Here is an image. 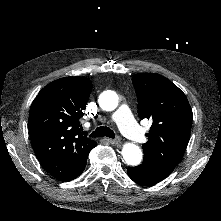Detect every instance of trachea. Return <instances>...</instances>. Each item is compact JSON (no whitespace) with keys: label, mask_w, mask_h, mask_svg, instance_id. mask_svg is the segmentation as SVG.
Here are the masks:
<instances>
[{"label":"trachea","mask_w":221,"mask_h":221,"mask_svg":"<svg viewBox=\"0 0 221 221\" xmlns=\"http://www.w3.org/2000/svg\"><path fill=\"white\" fill-rule=\"evenodd\" d=\"M109 137V138H114V132L112 129H110L107 126H100L94 132L90 135V137L93 138H100V137Z\"/></svg>","instance_id":"3493384b"}]
</instances>
